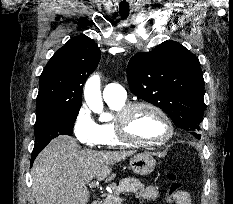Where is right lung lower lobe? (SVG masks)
Segmentation results:
<instances>
[{"label":"right lung lower lobe","mask_w":233,"mask_h":204,"mask_svg":"<svg viewBox=\"0 0 233 204\" xmlns=\"http://www.w3.org/2000/svg\"><path fill=\"white\" fill-rule=\"evenodd\" d=\"M45 146H34L32 155H31V165L33 164L35 158L37 157V155L41 152V150L44 148Z\"/></svg>","instance_id":"obj_1"}]
</instances>
